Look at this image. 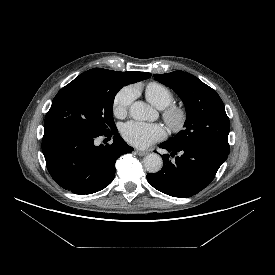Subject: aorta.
Here are the masks:
<instances>
[{
    "mask_svg": "<svg viewBox=\"0 0 275 275\" xmlns=\"http://www.w3.org/2000/svg\"><path fill=\"white\" fill-rule=\"evenodd\" d=\"M129 112L131 117L138 121L153 119L156 115L154 109L143 101L134 102L130 106ZM143 164L149 173H157L162 168L163 160L160 155L150 153L144 157Z\"/></svg>",
    "mask_w": 275,
    "mask_h": 275,
    "instance_id": "1",
    "label": "aorta"
}]
</instances>
